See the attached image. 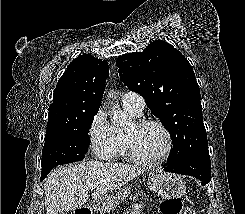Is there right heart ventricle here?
<instances>
[{
  "label": "right heart ventricle",
  "instance_id": "1",
  "mask_svg": "<svg viewBox=\"0 0 245 214\" xmlns=\"http://www.w3.org/2000/svg\"><path fill=\"white\" fill-rule=\"evenodd\" d=\"M126 112L133 118H138L140 117L141 113L137 112L131 107L124 106ZM115 129V134H116V148L114 151V156H120L122 158H129L125 141H124V131L120 128H114ZM113 156V157H114Z\"/></svg>",
  "mask_w": 245,
  "mask_h": 214
}]
</instances>
